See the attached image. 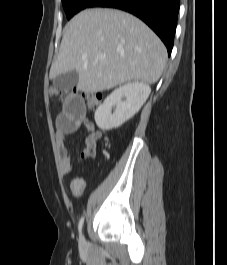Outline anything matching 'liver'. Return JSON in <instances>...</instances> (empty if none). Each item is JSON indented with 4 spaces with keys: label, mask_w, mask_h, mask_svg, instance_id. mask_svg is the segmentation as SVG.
<instances>
[{
    "label": "liver",
    "mask_w": 227,
    "mask_h": 265,
    "mask_svg": "<svg viewBox=\"0 0 227 265\" xmlns=\"http://www.w3.org/2000/svg\"><path fill=\"white\" fill-rule=\"evenodd\" d=\"M166 61V47L140 19L114 9H88L65 26L49 78L75 70L77 89L96 93L130 81L154 84Z\"/></svg>",
    "instance_id": "liver-1"
}]
</instances>
